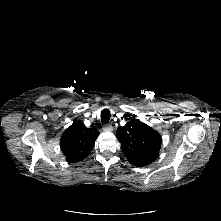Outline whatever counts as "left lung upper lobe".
<instances>
[{
    "label": "left lung upper lobe",
    "instance_id": "1",
    "mask_svg": "<svg viewBox=\"0 0 221 221\" xmlns=\"http://www.w3.org/2000/svg\"><path fill=\"white\" fill-rule=\"evenodd\" d=\"M116 137L121 143L123 153L132 165H148L159 154L160 134L138 119H132L125 126L119 127Z\"/></svg>",
    "mask_w": 221,
    "mask_h": 221
}]
</instances>
